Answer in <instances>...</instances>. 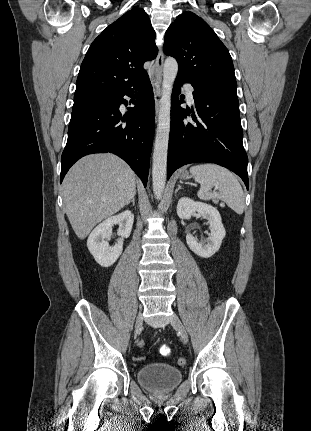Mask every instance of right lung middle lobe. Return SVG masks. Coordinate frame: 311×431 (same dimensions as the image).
I'll list each match as a JSON object with an SVG mask.
<instances>
[{
	"instance_id": "dd1d6c3e",
	"label": "right lung middle lobe",
	"mask_w": 311,
	"mask_h": 431,
	"mask_svg": "<svg viewBox=\"0 0 311 431\" xmlns=\"http://www.w3.org/2000/svg\"><path fill=\"white\" fill-rule=\"evenodd\" d=\"M82 98H85V97H82ZM77 99H81V98H74V100H77Z\"/></svg>"
}]
</instances>
